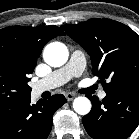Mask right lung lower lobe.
<instances>
[{"label":"right lung lower lobe","mask_w":139,"mask_h":139,"mask_svg":"<svg viewBox=\"0 0 139 139\" xmlns=\"http://www.w3.org/2000/svg\"><path fill=\"white\" fill-rule=\"evenodd\" d=\"M61 94L31 104L27 97L0 104V139H46L55 111L66 103Z\"/></svg>","instance_id":"98d812e1"}]
</instances>
